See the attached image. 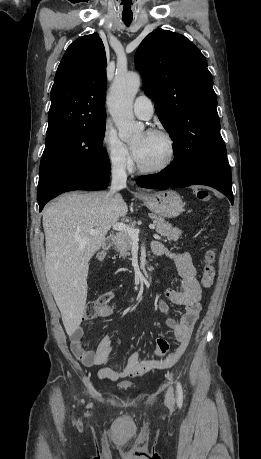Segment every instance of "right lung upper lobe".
<instances>
[{
  "label": "right lung upper lobe",
  "mask_w": 261,
  "mask_h": 459,
  "mask_svg": "<svg viewBox=\"0 0 261 459\" xmlns=\"http://www.w3.org/2000/svg\"><path fill=\"white\" fill-rule=\"evenodd\" d=\"M106 54L98 34L83 36L66 50L51 90L47 133L106 120Z\"/></svg>",
  "instance_id": "1"
}]
</instances>
